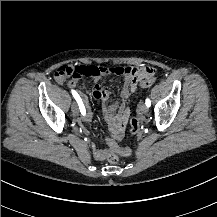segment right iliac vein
I'll list each match as a JSON object with an SVG mask.
<instances>
[{
    "mask_svg": "<svg viewBox=\"0 0 217 217\" xmlns=\"http://www.w3.org/2000/svg\"><path fill=\"white\" fill-rule=\"evenodd\" d=\"M71 110H72L73 115H77L79 113L78 106L75 102L72 103Z\"/></svg>",
    "mask_w": 217,
    "mask_h": 217,
    "instance_id": "obj_1",
    "label": "right iliac vein"
}]
</instances>
